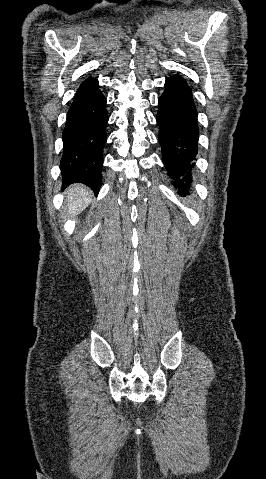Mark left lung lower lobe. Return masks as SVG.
<instances>
[{
    "label": "left lung lower lobe",
    "mask_w": 266,
    "mask_h": 479,
    "mask_svg": "<svg viewBox=\"0 0 266 479\" xmlns=\"http://www.w3.org/2000/svg\"><path fill=\"white\" fill-rule=\"evenodd\" d=\"M157 123L164 166L184 196L193 178L199 130L191 89L179 75L165 82V91L158 100Z\"/></svg>",
    "instance_id": "0a47b994"
}]
</instances>
